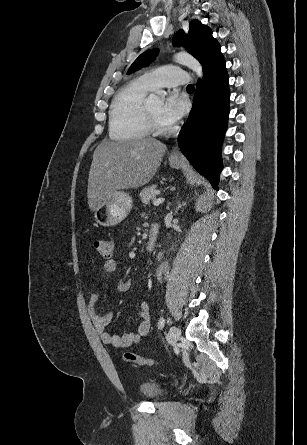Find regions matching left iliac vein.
<instances>
[{
  "instance_id": "4c4485c4",
  "label": "left iliac vein",
  "mask_w": 307,
  "mask_h": 445,
  "mask_svg": "<svg viewBox=\"0 0 307 445\" xmlns=\"http://www.w3.org/2000/svg\"><path fill=\"white\" fill-rule=\"evenodd\" d=\"M181 337V331L176 326H171L168 332V342L169 344H174Z\"/></svg>"
}]
</instances>
